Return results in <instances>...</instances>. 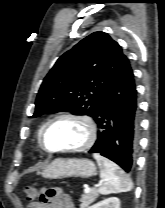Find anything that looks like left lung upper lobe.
<instances>
[{"label":"left lung upper lobe","instance_id":"5c2ea615","mask_svg":"<svg viewBox=\"0 0 165 208\" xmlns=\"http://www.w3.org/2000/svg\"><path fill=\"white\" fill-rule=\"evenodd\" d=\"M126 61L108 34L92 33L64 53L44 78L32 117L57 111L95 117L106 89Z\"/></svg>","mask_w":165,"mask_h":208}]
</instances>
